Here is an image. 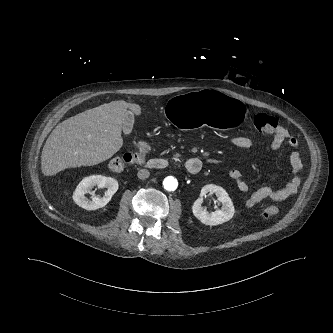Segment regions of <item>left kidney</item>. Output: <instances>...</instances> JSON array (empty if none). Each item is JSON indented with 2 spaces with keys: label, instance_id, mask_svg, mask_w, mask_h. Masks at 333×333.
Wrapping results in <instances>:
<instances>
[{
  "label": "left kidney",
  "instance_id": "1",
  "mask_svg": "<svg viewBox=\"0 0 333 333\" xmlns=\"http://www.w3.org/2000/svg\"><path fill=\"white\" fill-rule=\"evenodd\" d=\"M208 193H215L218 201L222 204L221 210L218 209L214 212H208L202 206L203 197H206ZM192 211L198 220L203 224L210 226L219 225L229 221L235 213L233 202L228 193L222 187L213 184L205 185L201 189L200 198L194 202Z\"/></svg>",
  "mask_w": 333,
  "mask_h": 333
}]
</instances>
